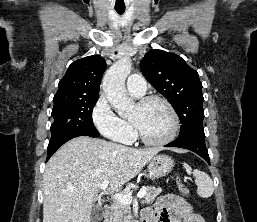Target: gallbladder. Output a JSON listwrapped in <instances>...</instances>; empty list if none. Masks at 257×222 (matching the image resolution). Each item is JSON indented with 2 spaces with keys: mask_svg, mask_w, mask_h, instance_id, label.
Masks as SVG:
<instances>
[{
  "mask_svg": "<svg viewBox=\"0 0 257 222\" xmlns=\"http://www.w3.org/2000/svg\"><path fill=\"white\" fill-rule=\"evenodd\" d=\"M103 209L99 206H94L91 211L90 221L100 222L103 219Z\"/></svg>",
  "mask_w": 257,
  "mask_h": 222,
  "instance_id": "bac80fb5",
  "label": "gallbladder"
}]
</instances>
